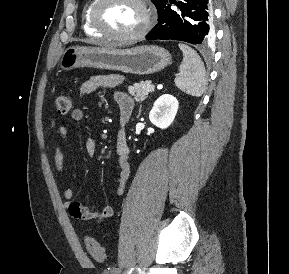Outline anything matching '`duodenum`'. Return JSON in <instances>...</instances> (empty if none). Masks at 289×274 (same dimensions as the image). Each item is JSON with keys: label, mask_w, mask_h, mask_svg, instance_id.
<instances>
[{"label": "duodenum", "mask_w": 289, "mask_h": 274, "mask_svg": "<svg viewBox=\"0 0 289 274\" xmlns=\"http://www.w3.org/2000/svg\"><path fill=\"white\" fill-rule=\"evenodd\" d=\"M130 118V113L127 111H123L120 116L121 125L124 126Z\"/></svg>", "instance_id": "obj_1"}]
</instances>
